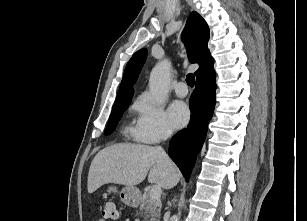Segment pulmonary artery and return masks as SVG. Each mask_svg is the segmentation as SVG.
<instances>
[{"label": "pulmonary artery", "instance_id": "e3ab8cb5", "mask_svg": "<svg viewBox=\"0 0 307 221\" xmlns=\"http://www.w3.org/2000/svg\"><path fill=\"white\" fill-rule=\"evenodd\" d=\"M174 90L178 97H185L188 94V88L184 82H178Z\"/></svg>", "mask_w": 307, "mask_h": 221}]
</instances>
